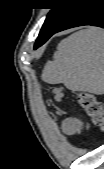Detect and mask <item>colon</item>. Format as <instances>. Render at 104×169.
Wrapping results in <instances>:
<instances>
[{"instance_id":"obj_1","label":"colon","mask_w":104,"mask_h":169,"mask_svg":"<svg viewBox=\"0 0 104 169\" xmlns=\"http://www.w3.org/2000/svg\"><path fill=\"white\" fill-rule=\"evenodd\" d=\"M55 93L56 100H61L64 93V88L62 86H58L55 89ZM78 101L86 115L91 119L92 123L101 127L104 123V116L102 104L97 100V98L91 93L82 92L78 95Z\"/></svg>"}]
</instances>
